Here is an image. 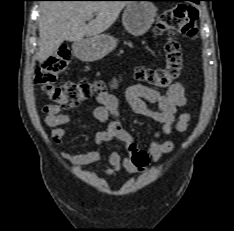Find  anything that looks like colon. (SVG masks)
Masks as SVG:
<instances>
[{"label":"colon","instance_id":"1","mask_svg":"<svg viewBox=\"0 0 234 231\" xmlns=\"http://www.w3.org/2000/svg\"><path fill=\"white\" fill-rule=\"evenodd\" d=\"M197 10L189 4H178L165 10L158 18L157 31L160 35L180 32L193 38L197 34ZM164 65L160 68L139 67L135 71L136 78L159 88L173 85L180 77L183 59L180 46L170 40L164 47ZM71 54L67 49L60 50L48 58L36 72V83L40 85L58 109L68 110L79 106L105 89L99 81H66L55 85L58 76L64 72L70 62ZM131 162L138 169L148 163V155L138 149L135 143L128 146Z\"/></svg>","mask_w":234,"mask_h":231}]
</instances>
